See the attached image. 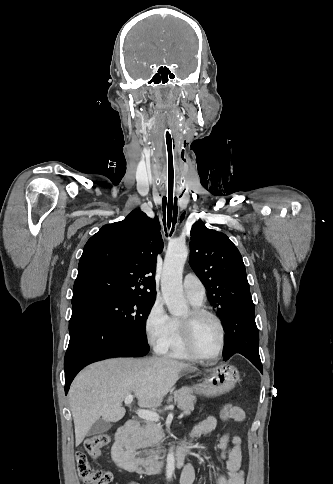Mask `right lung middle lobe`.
I'll return each mask as SVG.
<instances>
[{
    "label": "right lung middle lobe",
    "mask_w": 333,
    "mask_h": 484,
    "mask_svg": "<svg viewBox=\"0 0 333 484\" xmlns=\"http://www.w3.org/2000/svg\"><path fill=\"white\" fill-rule=\"evenodd\" d=\"M80 301L102 312L111 323L134 339L147 344L145 325L154 297L92 293Z\"/></svg>",
    "instance_id": "1"
}]
</instances>
